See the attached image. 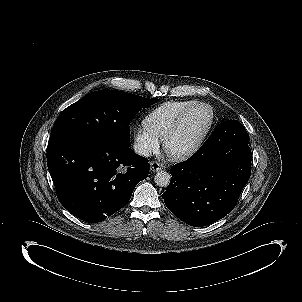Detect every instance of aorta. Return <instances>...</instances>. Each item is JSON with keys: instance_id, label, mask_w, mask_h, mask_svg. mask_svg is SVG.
Masks as SVG:
<instances>
[{"instance_id": "aorta-1", "label": "aorta", "mask_w": 302, "mask_h": 302, "mask_svg": "<svg viewBox=\"0 0 302 302\" xmlns=\"http://www.w3.org/2000/svg\"><path fill=\"white\" fill-rule=\"evenodd\" d=\"M171 175L166 171H158L154 176V182L159 187H166L170 184Z\"/></svg>"}]
</instances>
